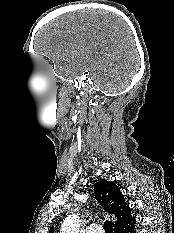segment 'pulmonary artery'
Returning a JSON list of instances; mask_svg holds the SVG:
<instances>
[{
	"instance_id": "obj_1",
	"label": "pulmonary artery",
	"mask_w": 174,
	"mask_h": 233,
	"mask_svg": "<svg viewBox=\"0 0 174 233\" xmlns=\"http://www.w3.org/2000/svg\"><path fill=\"white\" fill-rule=\"evenodd\" d=\"M86 233H104L103 228L98 224H90L86 227Z\"/></svg>"
}]
</instances>
